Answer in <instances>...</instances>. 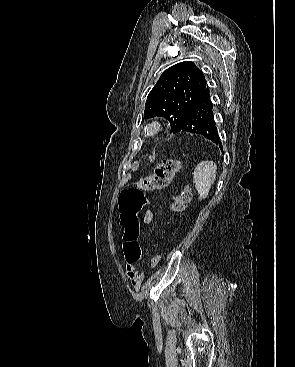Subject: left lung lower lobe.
I'll return each instance as SVG.
<instances>
[{
    "mask_svg": "<svg viewBox=\"0 0 295 367\" xmlns=\"http://www.w3.org/2000/svg\"><path fill=\"white\" fill-rule=\"evenodd\" d=\"M180 132L202 135L223 150L216 122L214 120L213 104L210 99L208 87L205 88L196 102L188 110L184 119L173 131V133Z\"/></svg>",
    "mask_w": 295,
    "mask_h": 367,
    "instance_id": "0a47b994",
    "label": "left lung lower lobe"
}]
</instances>
